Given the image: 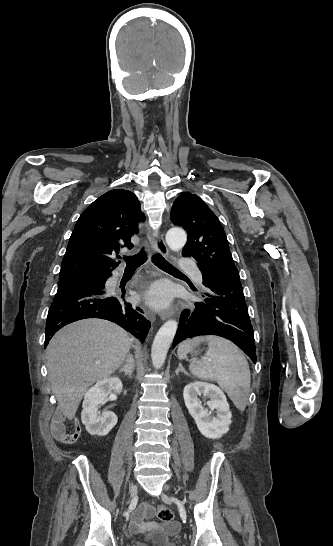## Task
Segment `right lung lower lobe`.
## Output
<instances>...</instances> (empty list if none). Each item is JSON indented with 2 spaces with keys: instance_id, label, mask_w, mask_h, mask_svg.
<instances>
[{
  "instance_id": "right-lung-lower-lobe-1",
  "label": "right lung lower lobe",
  "mask_w": 333,
  "mask_h": 546,
  "mask_svg": "<svg viewBox=\"0 0 333 546\" xmlns=\"http://www.w3.org/2000/svg\"><path fill=\"white\" fill-rule=\"evenodd\" d=\"M111 275H108L110 277ZM122 295L111 296L104 288L84 287L57 292L46 321L47 346L51 336L66 324L85 318L106 319L120 325L142 343L150 328L143 311L126 302Z\"/></svg>"
}]
</instances>
